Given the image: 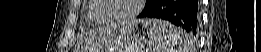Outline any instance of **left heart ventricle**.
<instances>
[{
  "label": "left heart ventricle",
  "instance_id": "1",
  "mask_svg": "<svg viewBox=\"0 0 261 52\" xmlns=\"http://www.w3.org/2000/svg\"><path fill=\"white\" fill-rule=\"evenodd\" d=\"M109 9L105 11L104 18L115 20L127 16L133 9L136 0H107Z\"/></svg>",
  "mask_w": 261,
  "mask_h": 52
}]
</instances>
